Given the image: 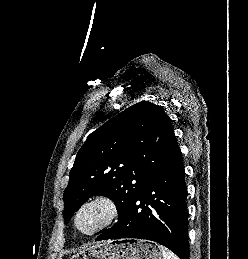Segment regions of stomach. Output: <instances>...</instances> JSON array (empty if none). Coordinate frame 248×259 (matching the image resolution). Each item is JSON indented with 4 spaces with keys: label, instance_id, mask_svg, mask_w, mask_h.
I'll return each mask as SVG.
<instances>
[{
    "label": "stomach",
    "instance_id": "obj_1",
    "mask_svg": "<svg viewBox=\"0 0 248 259\" xmlns=\"http://www.w3.org/2000/svg\"><path fill=\"white\" fill-rule=\"evenodd\" d=\"M158 244L140 239H120L98 243L70 259H162Z\"/></svg>",
    "mask_w": 248,
    "mask_h": 259
}]
</instances>
